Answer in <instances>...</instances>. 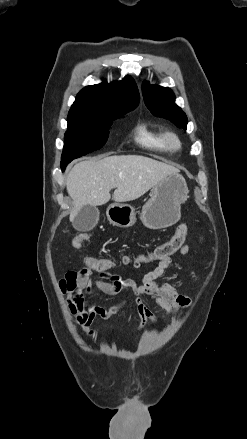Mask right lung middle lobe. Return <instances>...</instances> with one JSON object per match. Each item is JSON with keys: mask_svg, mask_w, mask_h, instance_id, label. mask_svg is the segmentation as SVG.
I'll return each mask as SVG.
<instances>
[{"mask_svg": "<svg viewBox=\"0 0 247 439\" xmlns=\"http://www.w3.org/2000/svg\"><path fill=\"white\" fill-rule=\"evenodd\" d=\"M133 109L114 114H68V130L61 157V168L64 171L73 159L100 149L107 141L109 127L113 120L120 118Z\"/></svg>", "mask_w": 247, "mask_h": 439, "instance_id": "right-lung-middle-lobe-1", "label": "right lung middle lobe"}]
</instances>
